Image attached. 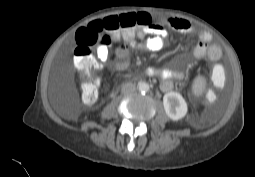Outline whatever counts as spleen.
<instances>
[{
	"mask_svg": "<svg viewBox=\"0 0 255 177\" xmlns=\"http://www.w3.org/2000/svg\"><path fill=\"white\" fill-rule=\"evenodd\" d=\"M203 88H204V80L201 78H198L195 81V84L193 87L194 93L199 95L202 92Z\"/></svg>",
	"mask_w": 255,
	"mask_h": 177,
	"instance_id": "obj_1",
	"label": "spleen"
}]
</instances>
